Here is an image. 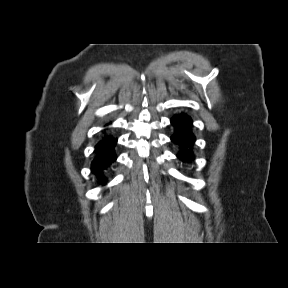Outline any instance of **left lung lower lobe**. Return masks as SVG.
I'll list each match as a JSON object with an SVG mask.
<instances>
[{
    "label": "left lung lower lobe",
    "instance_id": "left-lung-lower-lobe-1",
    "mask_svg": "<svg viewBox=\"0 0 288 288\" xmlns=\"http://www.w3.org/2000/svg\"><path fill=\"white\" fill-rule=\"evenodd\" d=\"M171 123L176 127L171 140L181 147L177 157L183 162H191L194 159L191 148L195 142V136L191 130L192 119L186 114H179L171 119Z\"/></svg>",
    "mask_w": 288,
    "mask_h": 288
}]
</instances>
